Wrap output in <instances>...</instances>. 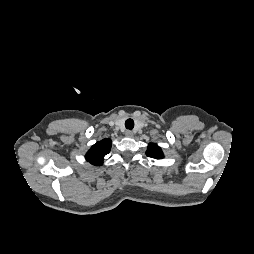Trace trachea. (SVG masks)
Wrapping results in <instances>:
<instances>
[{"label":"trachea","mask_w":254,"mask_h":254,"mask_svg":"<svg viewBox=\"0 0 254 254\" xmlns=\"http://www.w3.org/2000/svg\"><path fill=\"white\" fill-rule=\"evenodd\" d=\"M125 127L126 129L132 130L134 127V121L132 119H127L125 121Z\"/></svg>","instance_id":"trachea-1"}]
</instances>
